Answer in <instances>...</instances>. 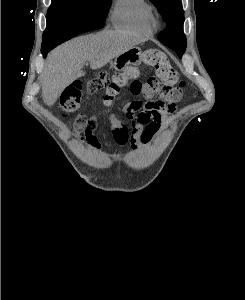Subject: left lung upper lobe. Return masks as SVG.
<instances>
[{
    "mask_svg": "<svg viewBox=\"0 0 245 300\" xmlns=\"http://www.w3.org/2000/svg\"><path fill=\"white\" fill-rule=\"evenodd\" d=\"M167 24L158 39L175 50L182 57L186 49V37L183 33L184 11L181 0H150Z\"/></svg>",
    "mask_w": 245,
    "mask_h": 300,
    "instance_id": "obj_1",
    "label": "left lung upper lobe"
}]
</instances>
